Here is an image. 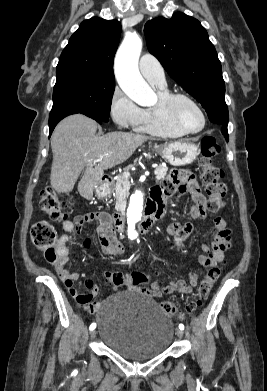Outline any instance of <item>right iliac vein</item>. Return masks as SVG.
<instances>
[{"instance_id": "63e3f726", "label": "right iliac vein", "mask_w": 267, "mask_h": 391, "mask_svg": "<svg viewBox=\"0 0 267 391\" xmlns=\"http://www.w3.org/2000/svg\"><path fill=\"white\" fill-rule=\"evenodd\" d=\"M90 337H91L92 339H94V338L96 337V330H92V331L90 332Z\"/></svg>"}]
</instances>
